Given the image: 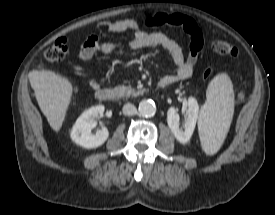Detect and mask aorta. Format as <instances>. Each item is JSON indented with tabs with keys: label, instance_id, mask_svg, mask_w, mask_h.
<instances>
[{
	"label": "aorta",
	"instance_id": "1",
	"mask_svg": "<svg viewBox=\"0 0 275 215\" xmlns=\"http://www.w3.org/2000/svg\"><path fill=\"white\" fill-rule=\"evenodd\" d=\"M139 113L143 117H152L155 115L156 106L154 102L150 100H143L139 103Z\"/></svg>",
	"mask_w": 275,
	"mask_h": 215
}]
</instances>
